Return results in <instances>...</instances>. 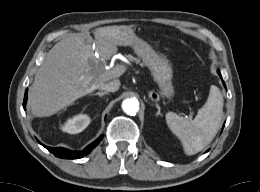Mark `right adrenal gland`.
I'll return each instance as SVG.
<instances>
[{
    "label": "right adrenal gland",
    "instance_id": "obj_1",
    "mask_svg": "<svg viewBox=\"0 0 260 192\" xmlns=\"http://www.w3.org/2000/svg\"><path fill=\"white\" fill-rule=\"evenodd\" d=\"M106 94H108L107 92H96V93H92V94H90L91 96L92 95H96V96H99V97H102V96H104V95H106Z\"/></svg>",
    "mask_w": 260,
    "mask_h": 192
}]
</instances>
